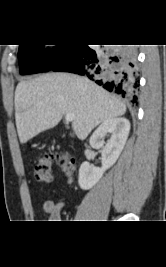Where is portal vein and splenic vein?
I'll use <instances>...</instances> for the list:
<instances>
[{"mask_svg": "<svg viewBox=\"0 0 166 267\" xmlns=\"http://www.w3.org/2000/svg\"><path fill=\"white\" fill-rule=\"evenodd\" d=\"M65 119L67 122H72L74 120V114L71 113L66 114Z\"/></svg>", "mask_w": 166, "mask_h": 267, "instance_id": "18ae733b", "label": "portal vein and splenic vein"}]
</instances>
